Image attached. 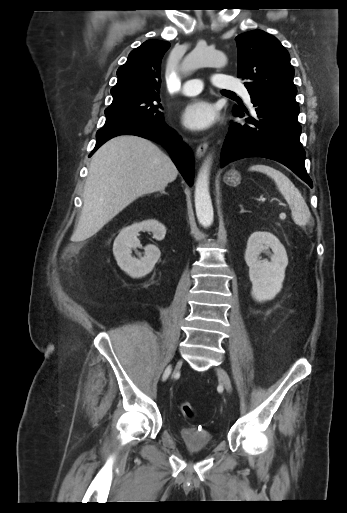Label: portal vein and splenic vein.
Segmentation results:
<instances>
[{
    "instance_id": "18ae733b",
    "label": "portal vein and splenic vein",
    "mask_w": 347,
    "mask_h": 513,
    "mask_svg": "<svg viewBox=\"0 0 347 513\" xmlns=\"http://www.w3.org/2000/svg\"><path fill=\"white\" fill-rule=\"evenodd\" d=\"M265 200H266L265 198H261L260 199L261 202H265Z\"/></svg>"
}]
</instances>
